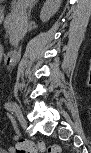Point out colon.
Wrapping results in <instances>:
<instances>
[{
  "instance_id": "1",
  "label": "colon",
  "mask_w": 91,
  "mask_h": 153,
  "mask_svg": "<svg viewBox=\"0 0 91 153\" xmlns=\"http://www.w3.org/2000/svg\"><path fill=\"white\" fill-rule=\"evenodd\" d=\"M58 153V146H47L43 141H30L19 139L14 146V153Z\"/></svg>"
}]
</instances>
